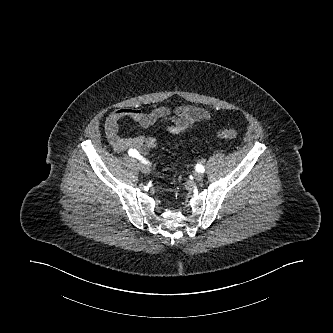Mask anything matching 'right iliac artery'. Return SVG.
<instances>
[{
    "label": "right iliac artery",
    "instance_id": "obj_1",
    "mask_svg": "<svg viewBox=\"0 0 333 333\" xmlns=\"http://www.w3.org/2000/svg\"><path fill=\"white\" fill-rule=\"evenodd\" d=\"M129 156L137 158L139 160H143L142 156L139 154L138 151H136L135 149H131L128 151ZM144 161V160H143ZM147 163V162H146Z\"/></svg>",
    "mask_w": 333,
    "mask_h": 333
}]
</instances>
